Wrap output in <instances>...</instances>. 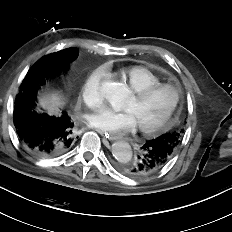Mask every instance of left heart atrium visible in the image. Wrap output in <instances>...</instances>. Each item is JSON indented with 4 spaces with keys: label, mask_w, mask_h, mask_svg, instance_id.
<instances>
[{
    "label": "left heart atrium",
    "mask_w": 232,
    "mask_h": 232,
    "mask_svg": "<svg viewBox=\"0 0 232 232\" xmlns=\"http://www.w3.org/2000/svg\"><path fill=\"white\" fill-rule=\"evenodd\" d=\"M86 122L93 128L115 135L133 131L137 126L136 119L130 111H115L110 108H100L87 115Z\"/></svg>",
    "instance_id": "obj_1"
}]
</instances>
